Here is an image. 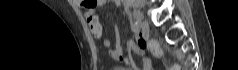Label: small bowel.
<instances>
[{"mask_svg": "<svg viewBox=\"0 0 238 70\" xmlns=\"http://www.w3.org/2000/svg\"><path fill=\"white\" fill-rule=\"evenodd\" d=\"M108 0H92L91 2L81 1L79 0L78 3L80 6L83 7L84 16L87 21V24L89 26L90 32L93 35V37L99 39L103 35V27L100 22L99 17L96 15L94 8L96 6L103 5L107 3ZM112 2H116V0H113ZM103 45L107 48L110 47L111 42L109 39L103 40ZM148 46V43L144 37H140L138 39L137 44H134L133 42H129L128 49L131 52L136 53L137 55H143L146 47ZM109 56L115 60L122 61L125 59L124 51L120 45V39L119 35L116 32V45L115 48L109 49ZM151 68V61L149 58H143L142 59V65L141 68L136 67L134 64H132L131 70H149ZM117 70H129L127 68H117Z\"/></svg>", "mask_w": 238, "mask_h": 70, "instance_id": "c3829d8e", "label": "small bowel"}]
</instances>
